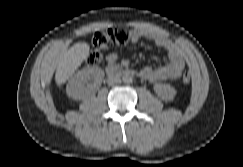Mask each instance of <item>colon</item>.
Masks as SVG:
<instances>
[{
  "instance_id": "colon-1",
  "label": "colon",
  "mask_w": 243,
  "mask_h": 167,
  "mask_svg": "<svg viewBox=\"0 0 243 167\" xmlns=\"http://www.w3.org/2000/svg\"><path fill=\"white\" fill-rule=\"evenodd\" d=\"M132 39V31L127 27L109 28L98 31L93 36V50L87 57V65L97 67L103 62V52L110 48H121L129 44ZM185 84L190 83L191 76L185 73L182 77Z\"/></svg>"
}]
</instances>
